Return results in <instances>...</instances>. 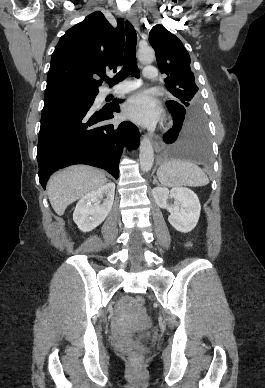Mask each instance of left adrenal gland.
<instances>
[{
	"label": "left adrenal gland",
	"instance_id": "a2214340",
	"mask_svg": "<svg viewBox=\"0 0 265 388\" xmlns=\"http://www.w3.org/2000/svg\"><path fill=\"white\" fill-rule=\"evenodd\" d=\"M153 184H157V186H159V184H158V182H157L155 176H154Z\"/></svg>",
	"mask_w": 265,
	"mask_h": 388
}]
</instances>
